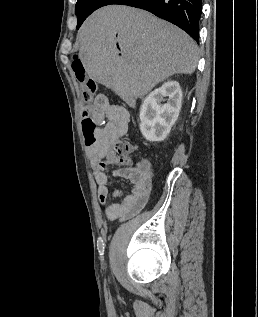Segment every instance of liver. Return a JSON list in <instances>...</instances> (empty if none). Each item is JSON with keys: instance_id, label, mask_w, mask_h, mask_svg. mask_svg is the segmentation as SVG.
<instances>
[{"instance_id": "1", "label": "liver", "mask_w": 258, "mask_h": 317, "mask_svg": "<svg viewBox=\"0 0 258 317\" xmlns=\"http://www.w3.org/2000/svg\"><path fill=\"white\" fill-rule=\"evenodd\" d=\"M78 38L87 74L123 100L144 96L175 72L192 74L199 60L198 46L184 30L124 4L92 12Z\"/></svg>"}]
</instances>
